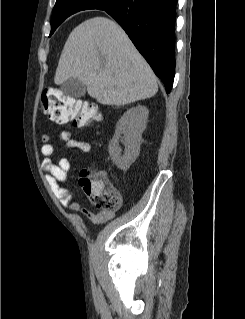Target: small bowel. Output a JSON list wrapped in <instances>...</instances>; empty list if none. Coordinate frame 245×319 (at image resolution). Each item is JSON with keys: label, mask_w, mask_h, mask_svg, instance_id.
<instances>
[{"label": "small bowel", "mask_w": 245, "mask_h": 319, "mask_svg": "<svg viewBox=\"0 0 245 319\" xmlns=\"http://www.w3.org/2000/svg\"><path fill=\"white\" fill-rule=\"evenodd\" d=\"M58 140L64 144L65 149H76L80 152L87 153L91 149V145L87 141H82L73 138L72 133L68 130H60L54 132ZM52 134L45 133L42 136L41 153L43 155L42 167L46 171L47 183L59 199L61 204L65 207H69L72 211L82 213L88 220L93 223H104L114 217V212L111 211H90L81 207L79 202L74 201V194L72 190L64 184L69 181V171L71 170V162L66 157L58 158L57 162H54V148L51 143Z\"/></svg>", "instance_id": "obj_1"}]
</instances>
